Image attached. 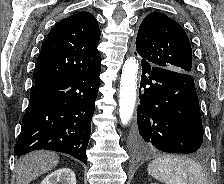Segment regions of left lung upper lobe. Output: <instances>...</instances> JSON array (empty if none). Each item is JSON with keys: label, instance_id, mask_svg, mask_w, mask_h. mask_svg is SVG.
<instances>
[{"label": "left lung upper lobe", "instance_id": "obj_1", "mask_svg": "<svg viewBox=\"0 0 224 184\" xmlns=\"http://www.w3.org/2000/svg\"><path fill=\"white\" fill-rule=\"evenodd\" d=\"M136 51L142 57L141 63L184 74L194 73L188 36L176 21L164 14L154 12L142 21Z\"/></svg>", "mask_w": 224, "mask_h": 184}]
</instances>
